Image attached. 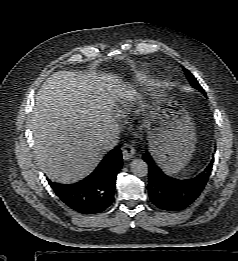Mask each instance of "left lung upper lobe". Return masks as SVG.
<instances>
[{
  "label": "left lung upper lobe",
  "mask_w": 238,
  "mask_h": 261,
  "mask_svg": "<svg viewBox=\"0 0 238 261\" xmlns=\"http://www.w3.org/2000/svg\"><path fill=\"white\" fill-rule=\"evenodd\" d=\"M184 73L189 81V83L191 84L192 87L199 89L202 93L205 94L204 90L202 89V87L199 85L198 81L196 80V78L187 70L184 69Z\"/></svg>",
  "instance_id": "obj_1"
}]
</instances>
